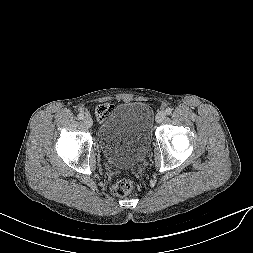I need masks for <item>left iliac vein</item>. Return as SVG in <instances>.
<instances>
[{
  "label": "left iliac vein",
  "mask_w": 253,
  "mask_h": 253,
  "mask_svg": "<svg viewBox=\"0 0 253 253\" xmlns=\"http://www.w3.org/2000/svg\"><path fill=\"white\" fill-rule=\"evenodd\" d=\"M166 118V113L164 111H159L156 115V122L161 123Z\"/></svg>",
  "instance_id": "1"
}]
</instances>
